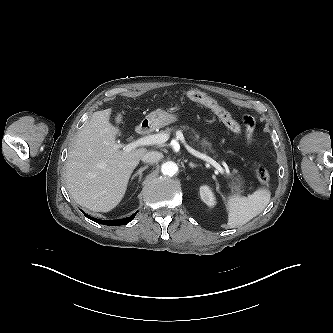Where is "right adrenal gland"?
<instances>
[{
	"mask_svg": "<svg viewBox=\"0 0 333 333\" xmlns=\"http://www.w3.org/2000/svg\"><path fill=\"white\" fill-rule=\"evenodd\" d=\"M148 168V165H145L144 167H141L131 178V180H133L136 176H139V182L141 180L142 177V172Z\"/></svg>",
	"mask_w": 333,
	"mask_h": 333,
	"instance_id": "2a0ac1e0",
	"label": "right adrenal gland"
}]
</instances>
